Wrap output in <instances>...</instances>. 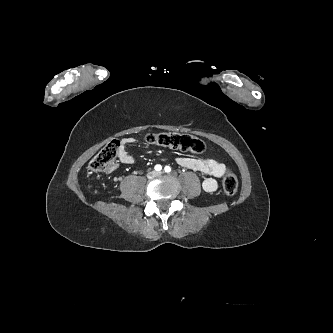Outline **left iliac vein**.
Returning <instances> with one entry per match:
<instances>
[{
    "label": "left iliac vein",
    "instance_id": "left-iliac-vein-1",
    "mask_svg": "<svg viewBox=\"0 0 333 333\" xmlns=\"http://www.w3.org/2000/svg\"><path fill=\"white\" fill-rule=\"evenodd\" d=\"M162 173L161 172H159V173H156V175H161Z\"/></svg>",
    "mask_w": 333,
    "mask_h": 333
}]
</instances>
